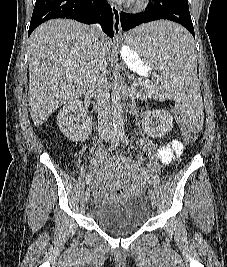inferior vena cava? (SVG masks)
Listing matches in <instances>:
<instances>
[{
    "mask_svg": "<svg viewBox=\"0 0 227 267\" xmlns=\"http://www.w3.org/2000/svg\"><path fill=\"white\" fill-rule=\"evenodd\" d=\"M90 31L95 39L96 53L89 77V89L97 100L99 135L100 137H105L113 133L109 82L106 76V49L99 42V39L104 36L100 27L92 25Z\"/></svg>",
    "mask_w": 227,
    "mask_h": 267,
    "instance_id": "inferior-vena-cava-1",
    "label": "inferior vena cava"
}]
</instances>
